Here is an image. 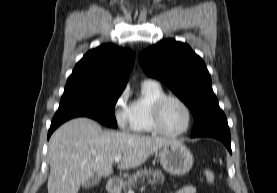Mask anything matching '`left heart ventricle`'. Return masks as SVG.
<instances>
[{
	"label": "left heart ventricle",
	"instance_id": "b2bd125f",
	"mask_svg": "<svg viewBox=\"0 0 277 193\" xmlns=\"http://www.w3.org/2000/svg\"><path fill=\"white\" fill-rule=\"evenodd\" d=\"M187 113L184 107L175 100H168L162 108V124L170 132H176L185 127Z\"/></svg>",
	"mask_w": 277,
	"mask_h": 193
}]
</instances>
